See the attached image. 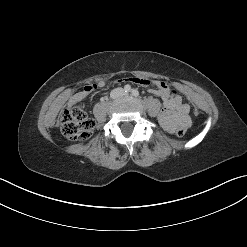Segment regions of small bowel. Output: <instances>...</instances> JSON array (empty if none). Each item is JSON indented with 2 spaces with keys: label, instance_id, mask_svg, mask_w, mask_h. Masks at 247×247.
Returning a JSON list of instances; mask_svg holds the SVG:
<instances>
[{
  "label": "small bowel",
  "instance_id": "small-bowel-1",
  "mask_svg": "<svg viewBox=\"0 0 247 247\" xmlns=\"http://www.w3.org/2000/svg\"><path fill=\"white\" fill-rule=\"evenodd\" d=\"M129 80L143 87L151 85L150 92L161 97L163 109L159 115V122L166 132L174 133L177 127L189 128L191 126L190 106L184 103L178 94H172L165 82L151 81L141 77H132ZM104 86L105 82L102 80L96 84L87 85L68 100V107H72L75 103L88 97L96 88Z\"/></svg>",
  "mask_w": 247,
  "mask_h": 247
}]
</instances>
